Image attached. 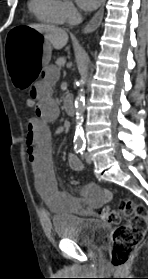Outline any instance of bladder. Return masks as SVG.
<instances>
[{"instance_id":"bladder-1","label":"bladder","mask_w":148,"mask_h":279,"mask_svg":"<svg viewBox=\"0 0 148 279\" xmlns=\"http://www.w3.org/2000/svg\"><path fill=\"white\" fill-rule=\"evenodd\" d=\"M52 223L59 239L86 247L97 246L107 238L110 231L109 225L100 220L72 215L55 216Z\"/></svg>"}]
</instances>
